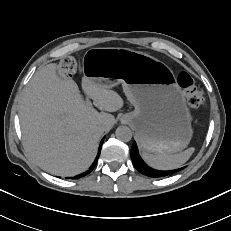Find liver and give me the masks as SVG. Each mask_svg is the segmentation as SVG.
<instances>
[{"label":"liver","mask_w":231,"mask_h":231,"mask_svg":"<svg viewBox=\"0 0 231 231\" xmlns=\"http://www.w3.org/2000/svg\"><path fill=\"white\" fill-rule=\"evenodd\" d=\"M58 65L38 70L24 89L19 119L26 151L45 171L59 176L84 172L92 164L104 131L115 123L121 96L83 76L82 88L93 104L88 106L75 81L57 72ZM104 127V129H102Z\"/></svg>","instance_id":"6515ba94"}]
</instances>
